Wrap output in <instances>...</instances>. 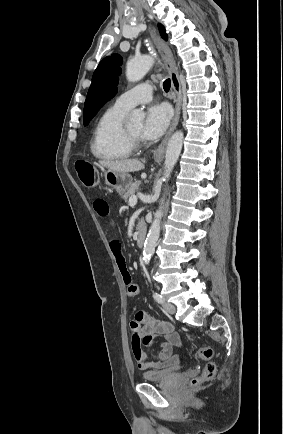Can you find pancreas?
<instances>
[{
    "mask_svg": "<svg viewBox=\"0 0 283 434\" xmlns=\"http://www.w3.org/2000/svg\"><path fill=\"white\" fill-rule=\"evenodd\" d=\"M140 186V182L136 181L135 183H133L130 188L128 189V191L123 195V199L125 202H127L130 197H132L135 193V191L139 188Z\"/></svg>",
    "mask_w": 283,
    "mask_h": 434,
    "instance_id": "1",
    "label": "pancreas"
}]
</instances>
